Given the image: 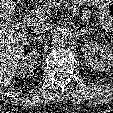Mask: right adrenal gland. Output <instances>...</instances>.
I'll return each mask as SVG.
<instances>
[{
  "instance_id": "1",
  "label": "right adrenal gland",
  "mask_w": 113,
  "mask_h": 113,
  "mask_svg": "<svg viewBox=\"0 0 113 113\" xmlns=\"http://www.w3.org/2000/svg\"><path fill=\"white\" fill-rule=\"evenodd\" d=\"M41 38V36H34L31 40L35 41V40H39Z\"/></svg>"
}]
</instances>
